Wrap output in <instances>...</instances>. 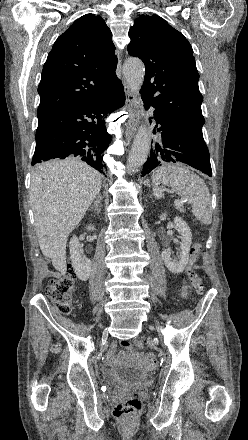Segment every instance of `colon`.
<instances>
[{
  "label": "colon",
  "mask_w": 248,
  "mask_h": 440,
  "mask_svg": "<svg viewBox=\"0 0 248 440\" xmlns=\"http://www.w3.org/2000/svg\"><path fill=\"white\" fill-rule=\"evenodd\" d=\"M202 246L199 241L195 242L190 250V259L187 267L188 277L191 284L201 293L203 290L202 278L197 273V260ZM76 281V273L70 264L66 273L58 279L50 281L48 285V295L54 307L64 315L70 314L73 309L72 293ZM133 346L142 349L144 343L142 340H135ZM141 409V400L137 394L131 395L128 399L116 403L113 408V414L117 418H127L136 415Z\"/></svg>",
  "instance_id": "1"
}]
</instances>
